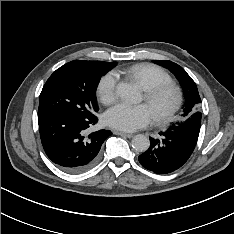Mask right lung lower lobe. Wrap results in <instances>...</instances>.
I'll return each instance as SVG.
<instances>
[{
	"instance_id": "1",
	"label": "right lung lower lobe",
	"mask_w": 234,
	"mask_h": 234,
	"mask_svg": "<svg viewBox=\"0 0 234 234\" xmlns=\"http://www.w3.org/2000/svg\"><path fill=\"white\" fill-rule=\"evenodd\" d=\"M98 119L73 114L53 113L38 118L41 142L46 155L58 167L69 173L91 168L106 138L112 132L99 130L87 134Z\"/></svg>"
}]
</instances>
